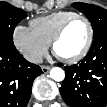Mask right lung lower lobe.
<instances>
[{"mask_svg": "<svg viewBox=\"0 0 107 107\" xmlns=\"http://www.w3.org/2000/svg\"><path fill=\"white\" fill-rule=\"evenodd\" d=\"M42 73L17 50L0 47V107H26L33 81Z\"/></svg>", "mask_w": 107, "mask_h": 107, "instance_id": "98d812e1", "label": "right lung lower lobe"}]
</instances>
